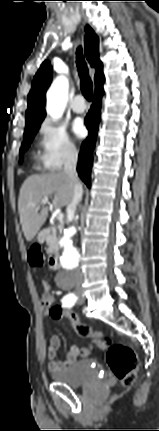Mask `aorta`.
<instances>
[{
	"instance_id": "1",
	"label": "aorta",
	"mask_w": 159,
	"mask_h": 431,
	"mask_svg": "<svg viewBox=\"0 0 159 431\" xmlns=\"http://www.w3.org/2000/svg\"><path fill=\"white\" fill-rule=\"evenodd\" d=\"M69 83L66 77H57L47 92V112L53 118L62 116L67 103ZM77 233L75 226H70L63 232L61 255V264L65 269H76L80 263V254L78 249L71 243Z\"/></svg>"
}]
</instances>
